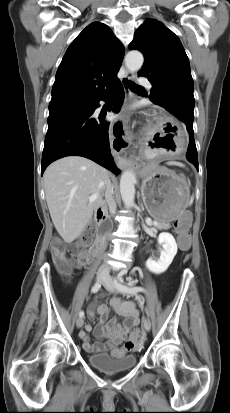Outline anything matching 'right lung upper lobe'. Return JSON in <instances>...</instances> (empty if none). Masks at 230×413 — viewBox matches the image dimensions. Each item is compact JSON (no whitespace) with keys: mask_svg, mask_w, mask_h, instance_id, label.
I'll return each mask as SVG.
<instances>
[{"mask_svg":"<svg viewBox=\"0 0 230 413\" xmlns=\"http://www.w3.org/2000/svg\"><path fill=\"white\" fill-rule=\"evenodd\" d=\"M124 52L107 25H88L68 47L59 65L49 107L85 104L105 94L118 79Z\"/></svg>","mask_w":230,"mask_h":413,"instance_id":"right-lung-upper-lobe-1","label":"right lung upper lobe"}]
</instances>
